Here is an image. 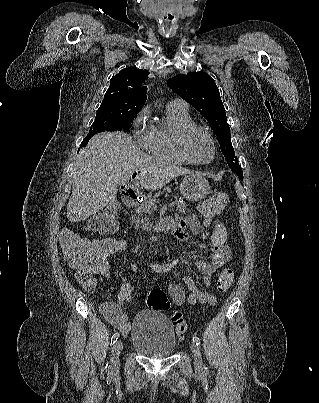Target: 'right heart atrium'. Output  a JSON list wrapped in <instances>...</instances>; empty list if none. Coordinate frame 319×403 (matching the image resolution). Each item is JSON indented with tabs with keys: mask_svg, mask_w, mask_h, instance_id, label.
<instances>
[{
	"mask_svg": "<svg viewBox=\"0 0 319 403\" xmlns=\"http://www.w3.org/2000/svg\"><path fill=\"white\" fill-rule=\"evenodd\" d=\"M132 134L136 144L147 151L154 141V126L149 122V109L142 108L132 121Z\"/></svg>",
	"mask_w": 319,
	"mask_h": 403,
	"instance_id": "right-heart-atrium-1",
	"label": "right heart atrium"
}]
</instances>
